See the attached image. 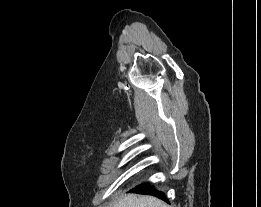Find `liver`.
Instances as JSON below:
<instances>
[{
	"instance_id": "6515ba94",
	"label": "liver",
	"mask_w": 261,
	"mask_h": 207,
	"mask_svg": "<svg viewBox=\"0 0 261 207\" xmlns=\"http://www.w3.org/2000/svg\"><path fill=\"white\" fill-rule=\"evenodd\" d=\"M111 207H169L153 196L122 195Z\"/></svg>"
}]
</instances>
